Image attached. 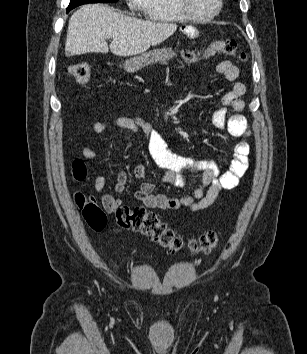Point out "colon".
Returning a JSON list of instances; mask_svg holds the SVG:
<instances>
[{
    "label": "colon",
    "instance_id": "obj_1",
    "mask_svg": "<svg viewBox=\"0 0 307 354\" xmlns=\"http://www.w3.org/2000/svg\"><path fill=\"white\" fill-rule=\"evenodd\" d=\"M217 53L237 57L239 60H245L244 53L238 51L237 43L233 39L219 40L212 43L203 51L184 50L183 59L188 62H198L207 59ZM66 75L72 78L78 84H86L91 77L90 66L85 62L72 64L66 69ZM73 173L76 179L83 180L86 176V168L82 161L77 160L73 165ZM77 206L87 224L94 230L100 231L106 225V211L114 212L115 223L119 230L133 229L146 236L160 246L167 248L172 253H177L184 248L183 239L174 233L165 223L161 222L157 215L146 210L142 206L128 207L119 205L108 210L100 207L93 197L85 196L81 193L75 195ZM218 243V234L215 231H208L188 243V248L192 253H208Z\"/></svg>",
    "mask_w": 307,
    "mask_h": 354
}]
</instances>
